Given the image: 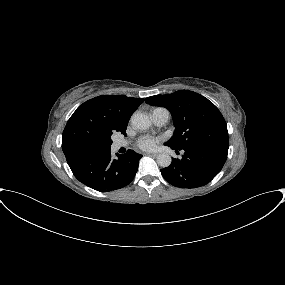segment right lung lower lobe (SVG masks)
Returning a JSON list of instances; mask_svg holds the SVG:
<instances>
[{
  "label": "right lung lower lobe",
  "instance_id": "obj_1",
  "mask_svg": "<svg viewBox=\"0 0 285 285\" xmlns=\"http://www.w3.org/2000/svg\"><path fill=\"white\" fill-rule=\"evenodd\" d=\"M116 155L118 159L112 158L110 148L100 149L81 156L69 167L90 188L101 192L117 190L134 179L142 155L133 150Z\"/></svg>",
  "mask_w": 285,
  "mask_h": 285
}]
</instances>
